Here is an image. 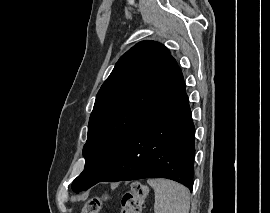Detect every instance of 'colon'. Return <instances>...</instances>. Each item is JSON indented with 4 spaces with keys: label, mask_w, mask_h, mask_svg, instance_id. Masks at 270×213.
<instances>
[{
    "label": "colon",
    "mask_w": 270,
    "mask_h": 213,
    "mask_svg": "<svg viewBox=\"0 0 270 213\" xmlns=\"http://www.w3.org/2000/svg\"><path fill=\"white\" fill-rule=\"evenodd\" d=\"M147 186L141 183H134L120 199V213H140L143 203L148 196ZM105 198L92 197L83 207L82 213H99Z\"/></svg>",
    "instance_id": "colon-1"
}]
</instances>
